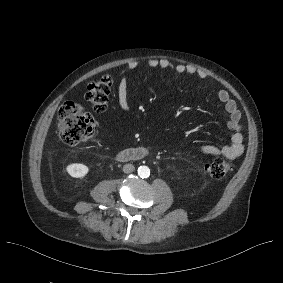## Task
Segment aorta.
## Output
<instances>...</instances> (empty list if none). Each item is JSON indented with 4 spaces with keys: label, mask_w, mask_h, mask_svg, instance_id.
Masks as SVG:
<instances>
[{
    "label": "aorta",
    "mask_w": 283,
    "mask_h": 283,
    "mask_svg": "<svg viewBox=\"0 0 283 283\" xmlns=\"http://www.w3.org/2000/svg\"><path fill=\"white\" fill-rule=\"evenodd\" d=\"M137 171L141 178H147L150 176V169L147 166H140Z\"/></svg>",
    "instance_id": "1"
}]
</instances>
